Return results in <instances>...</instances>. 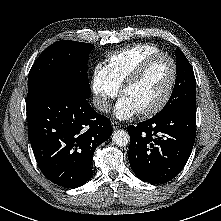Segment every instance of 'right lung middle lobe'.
<instances>
[{
  "mask_svg": "<svg viewBox=\"0 0 221 221\" xmlns=\"http://www.w3.org/2000/svg\"><path fill=\"white\" fill-rule=\"evenodd\" d=\"M92 48L88 43L61 40L45 49L29 72L27 104L51 89H65L88 98L87 63Z\"/></svg>",
  "mask_w": 221,
  "mask_h": 221,
  "instance_id": "right-lung-middle-lobe-1",
  "label": "right lung middle lobe"
}]
</instances>
